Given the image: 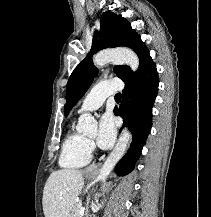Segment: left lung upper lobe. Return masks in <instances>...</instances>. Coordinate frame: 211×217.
<instances>
[{"label": "left lung upper lobe", "mask_w": 211, "mask_h": 217, "mask_svg": "<svg viewBox=\"0 0 211 217\" xmlns=\"http://www.w3.org/2000/svg\"><path fill=\"white\" fill-rule=\"evenodd\" d=\"M100 22V32L98 34L95 31L90 53L78 64L68 80L66 104L64 107L65 116L68 115L73 106L85 94L98 73V69L94 66L91 58L95 52L108 47L120 46L133 49L140 59L139 68L135 73L131 72L129 66L114 67V73L124 83L135 78L145 68L154 64L148 48L125 18L112 12H105L102 14Z\"/></svg>", "instance_id": "1"}]
</instances>
